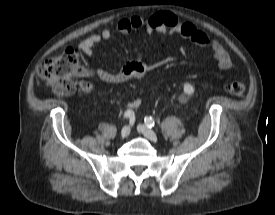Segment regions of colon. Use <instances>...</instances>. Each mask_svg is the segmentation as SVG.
<instances>
[{"instance_id": "1", "label": "colon", "mask_w": 275, "mask_h": 215, "mask_svg": "<svg viewBox=\"0 0 275 215\" xmlns=\"http://www.w3.org/2000/svg\"><path fill=\"white\" fill-rule=\"evenodd\" d=\"M84 73L81 64V52L75 48H67L60 56L46 60L39 68V76L47 87L59 97H67L75 93V77ZM226 91L235 96L246 93L247 87L241 81H231L225 86ZM84 95H91L94 86L88 81L80 84Z\"/></svg>"}]
</instances>
